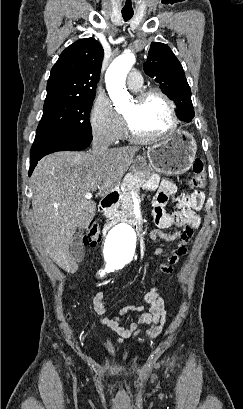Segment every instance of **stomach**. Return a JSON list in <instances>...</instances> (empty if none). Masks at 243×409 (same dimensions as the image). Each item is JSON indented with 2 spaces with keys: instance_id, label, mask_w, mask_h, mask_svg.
<instances>
[{
  "instance_id": "0dacf381",
  "label": "stomach",
  "mask_w": 243,
  "mask_h": 409,
  "mask_svg": "<svg viewBox=\"0 0 243 409\" xmlns=\"http://www.w3.org/2000/svg\"><path fill=\"white\" fill-rule=\"evenodd\" d=\"M197 151L194 137L187 131L177 130L163 141L147 149L132 165L133 171H157L164 175H179L193 164Z\"/></svg>"
}]
</instances>
